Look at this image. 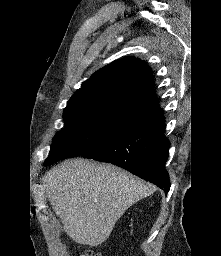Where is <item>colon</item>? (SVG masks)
<instances>
[{
    "instance_id": "1",
    "label": "colon",
    "mask_w": 221,
    "mask_h": 256,
    "mask_svg": "<svg viewBox=\"0 0 221 256\" xmlns=\"http://www.w3.org/2000/svg\"><path fill=\"white\" fill-rule=\"evenodd\" d=\"M81 256H99V255L93 254L91 252H87V253H85V254H83Z\"/></svg>"
}]
</instances>
